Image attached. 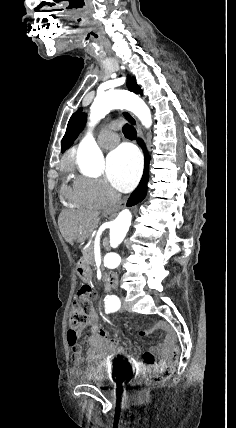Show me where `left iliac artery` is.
<instances>
[{
    "instance_id": "44dca946",
    "label": "left iliac artery",
    "mask_w": 236,
    "mask_h": 428,
    "mask_svg": "<svg viewBox=\"0 0 236 428\" xmlns=\"http://www.w3.org/2000/svg\"><path fill=\"white\" fill-rule=\"evenodd\" d=\"M104 301H105L106 313L115 312L121 306V302H120L119 298L115 295H111V296L107 295L105 297Z\"/></svg>"
}]
</instances>
